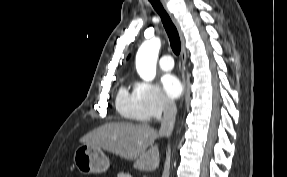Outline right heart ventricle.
Wrapping results in <instances>:
<instances>
[{
  "instance_id": "right-heart-ventricle-1",
  "label": "right heart ventricle",
  "mask_w": 287,
  "mask_h": 177,
  "mask_svg": "<svg viewBox=\"0 0 287 177\" xmlns=\"http://www.w3.org/2000/svg\"><path fill=\"white\" fill-rule=\"evenodd\" d=\"M134 88L132 91H129L126 86H122L119 89L116 97V109L124 118L130 120H140L138 115V101Z\"/></svg>"
}]
</instances>
